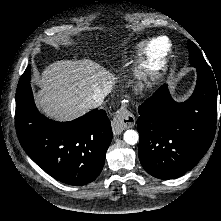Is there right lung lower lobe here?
Listing matches in <instances>:
<instances>
[{"label": "right lung lower lobe", "instance_id": "right-lung-lower-lobe-1", "mask_svg": "<svg viewBox=\"0 0 221 221\" xmlns=\"http://www.w3.org/2000/svg\"><path fill=\"white\" fill-rule=\"evenodd\" d=\"M15 125L30 158L69 185H85L99 176L113 135L104 110H92L70 122L52 121L40 114L30 86V66L18 83Z\"/></svg>", "mask_w": 221, "mask_h": 221}]
</instances>
